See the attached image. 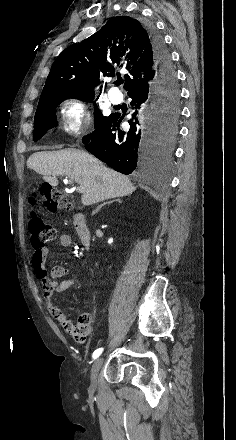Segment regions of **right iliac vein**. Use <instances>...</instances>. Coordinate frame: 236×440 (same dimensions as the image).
<instances>
[{
    "label": "right iliac vein",
    "mask_w": 236,
    "mask_h": 440,
    "mask_svg": "<svg viewBox=\"0 0 236 440\" xmlns=\"http://www.w3.org/2000/svg\"><path fill=\"white\" fill-rule=\"evenodd\" d=\"M102 363H103V358L100 357V358H97V359L94 361L93 365H92V368H91V375H90V379H91V387H92V388H95V387H96L97 375H98V372H99V370H100V368H101V366H102Z\"/></svg>",
    "instance_id": "63e3f726"
}]
</instances>
